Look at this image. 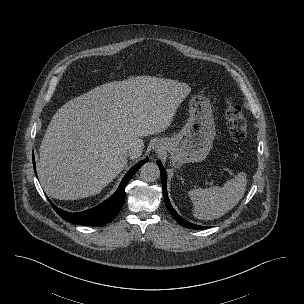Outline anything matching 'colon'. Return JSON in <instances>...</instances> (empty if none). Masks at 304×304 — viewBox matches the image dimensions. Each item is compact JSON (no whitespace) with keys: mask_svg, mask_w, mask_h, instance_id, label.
<instances>
[{"mask_svg":"<svg viewBox=\"0 0 304 304\" xmlns=\"http://www.w3.org/2000/svg\"><path fill=\"white\" fill-rule=\"evenodd\" d=\"M225 120L228 133L235 143H242L247 136V120L241 107L232 99H229L225 107Z\"/></svg>","mask_w":304,"mask_h":304,"instance_id":"colon-1","label":"colon"}]
</instances>
